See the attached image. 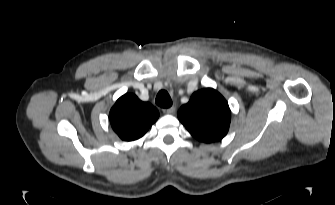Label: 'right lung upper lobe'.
I'll return each mask as SVG.
<instances>
[{"mask_svg":"<svg viewBox=\"0 0 335 205\" xmlns=\"http://www.w3.org/2000/svg\"><path fill=\"white\" fill-rule=\"evenodd\" d=\"M158 117L159 112L154 106L133 94L121 96L109 114L113 130L124 141L142 137Z\"/></svg>","mask_w":335,"mask_h":205,"instance_id":"obj_1","label":"right lung upper lobe"}]
</instances>
